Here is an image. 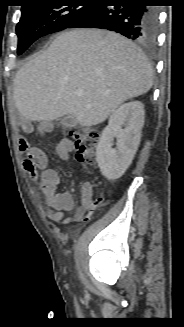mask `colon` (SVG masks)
<instances>
[{
    "instance_id": "colon-1",
    "label": "colon",
    "mask_w": 184,
    "mask_h": 327,
    "mask_svg": "<svg viewBox=\"0 0 184 327\" xmlns=\"http://www.w3.org/2000/svg\"><path fill=\"white\" fill-rule=\"evenodd\" d=\"M18 129H23V124L18 123ZM70 137L74 144L77 160L85 165L92 166L96 162V147L99 141V133L96 129L85 128L80 131H72ZM19 149L25 152L28 149L27 142L20 137ZM86 190H89L86 188Z\"/></svg>"
}]
</instances>
